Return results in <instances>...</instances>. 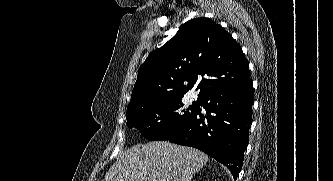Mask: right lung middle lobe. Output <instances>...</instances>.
I'll return each mask as SVG.
<instances>
[{
    "instance_id": "1",
    "label": "right lung middle lobe",
    "mask_w": 333,
    "mask_h": 181,
    "mask_svg": "<svg viewBox=\"0 0 333 181\" xmlns=\"http://www.w3.org/2000/svg\"><path fill=\"white\" fill-rule=\"evenodd\" d=\"M182 98L153 101L127 111L128 128H136L148 140H167L196 113L199 100L188 108Z\"/></svg>"
}]
</instances>
